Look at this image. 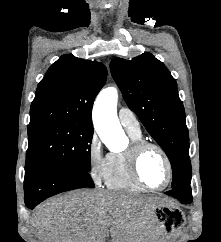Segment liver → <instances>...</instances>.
Returning <instances> with one entry per match:
<instances>
[{
  "mask_svg": "<svg viewBox=\"0 0 221 242\" xmlns=\"http://www.w3.org/2000/svg\"><path fill=\"white\" fill-rule=\"evenodd\" d=\"M167 200L132 193L75 190L40 204L30 224L40 242H156L154 209Z\"/></svg>",
  "mask_w": 221,
  "mask_h": 242,
  "instance_id": "6515ba94",
  "label": "liver"
}]
</instances>
